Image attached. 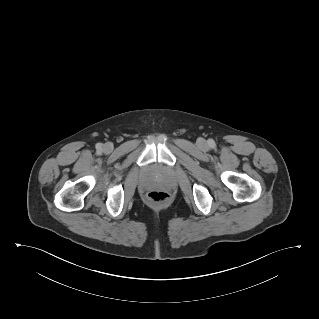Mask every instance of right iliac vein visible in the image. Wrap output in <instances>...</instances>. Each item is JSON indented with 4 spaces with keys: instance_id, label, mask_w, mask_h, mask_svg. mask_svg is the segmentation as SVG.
<instances>
[{
    "instance_id": "obj_1",
    "label": "right iliac vein",
    "mask_w": 319,
    "mask_h": 319,
    "mask_svg": "<svg viewBox=\"0 0 319 319\" xmlns=\"http://www.w3.org/2000/svg\"><path fill=\"white\" fill-rule=\"evenodd\" d=\"M103 149L105 152H110L112 150V146H111V144L107 143L104 145Z\"/></svg>"
}]
</instances>
